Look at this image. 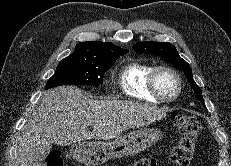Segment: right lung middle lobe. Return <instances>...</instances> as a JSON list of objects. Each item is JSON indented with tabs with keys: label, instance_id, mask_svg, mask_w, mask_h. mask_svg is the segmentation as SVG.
<instances>
[{
	"label": "right lung middle lobe",
	"instance_id": "1",
	"mask_svg": "<svg viewBox=\"0 0 231 166\" xmlns=\"http://www.w3.org/2000/svg\"><path fill=\"white\" fill-rule=\"evenodd\" d=\"M126 53L105 55L99 58L70 55L60 61L45 89L67 84L98 86L102 84L104 74L109 67Z\"/></svg>",
	"mask_w": 231,
	"mask_h": 166
}]
</instances>
